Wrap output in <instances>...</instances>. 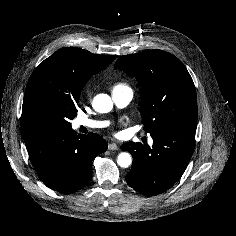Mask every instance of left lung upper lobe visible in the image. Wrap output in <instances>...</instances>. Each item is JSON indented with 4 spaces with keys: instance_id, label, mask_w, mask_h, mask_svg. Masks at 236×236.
Here are the masks:
<instances>
[{
    "instance_id": "1",
    "label": "left lung upper lobe",
    "mask_w": 236,
    "mask_h": 236,
    "mask_svg": "<svg viewBox=\"0 0 236 236\" xmlns=\"http://www.w3.org/2000/svg\"><path fill=\"white\" fill-rule=\"evenodd\" d=\"M114 68L135 76L142 86L140 114L145 131H196V89L177 57L162 50H147L119 58Z\"/></svg>"
}]
</instances>
